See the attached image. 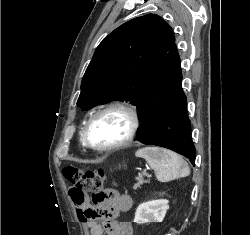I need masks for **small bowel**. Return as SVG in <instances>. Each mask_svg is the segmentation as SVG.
<instances>
[{"mask_svg": "<svg viewBox=\"0 0 250 235\" xmlns=\"http://www.w3.org/2000/svg\"><path fill=\"white\" fill-rule=\"evenodd\" d=\"M106 195V201L97 206L88 201L76 206L79 220L85 224L89 235H132L133 230L129 222H118L111 218L113 214L131 209V196L113 190L107 191ZM91 212H95L96 216L91 217ZM97 212L100 215H97Z\"/></svg>", "mask_w": 250, "mask_h": 235, "instance_id": "c3829d8e", "label": "small bowel"}]
</instances>
